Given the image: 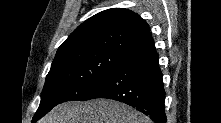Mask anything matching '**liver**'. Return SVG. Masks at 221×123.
<instances>
[{
  "label": "liver",
  "instance_id": "1",
  "mask_svg": "<svg viewBox=\"0 0 221 123\" xmlns=\"http://www.w3.org/2000/svg\"><path fill=\"white\" fill-rule=\"evenodd\" d=\"M39 123H152V121L125 104L108 99H96L84 103L60 104Z\"/></svg>",
  "mask_w": 221,
  "mask_h": 123
}]
</instances>
